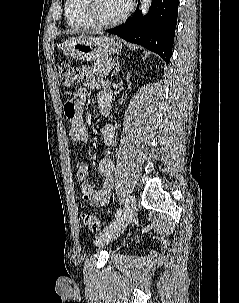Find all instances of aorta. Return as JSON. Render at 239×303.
Returning a JSON list of instances; mask_svg holds the SVG:
<instances>
[{
    "instance_id": "aorta-1",
    "label": "aorta",
    "mask_w": 239,
    "mask_h": 303,
    "mask_svg": "<svg viewBox=\"0 0 239 303\" xmlns=\"http://www.w3.org/2000/svg\"><path fill=\"white\" fill-rule=\"evenodd\" d=\"M140 3H141L142 13L143 15H145L151 6L152 0H140Z\"/></svg>"
}]
</instances>
